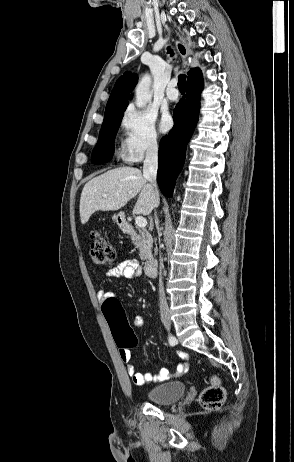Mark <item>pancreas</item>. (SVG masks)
Here are the masks:
<instances>
[{"label": "pancreas", "mask_w": 294, "mask_h": 462, "mask_svg": "<svg viewBox=\"0 0 294 462\" xmlns=\"http://www.w3.org/2000/svg\"><path fill=\"white\" fill-rule=\"evenodd\" d=\"M137 229L139 234L135 232L131 234L132 242L139 249V256L141 260H148L152 257L151 248L153 240L148 231L139 228Z\"/></svg>", "instance_id": "pancreas-1"}]
</instances>
